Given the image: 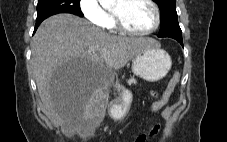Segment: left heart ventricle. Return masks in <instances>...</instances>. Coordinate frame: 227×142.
Instances as JSON below:
<instances>
[{"label":"left heart ventricle","instance_id":"obj_1","mask_svg":"<svg viewBox=\"0 0 227 142\" xmlns=\"http://www.w3.org/2000/svg\"><path fill=\"white\" fill-rule=\"evenodd\" d=\"M112 11L117 12L125 24L136 31H144L154 24V11L146 0H117Z\"/></svg>","mask_w":227,"mask_h":142}]
</instances>
